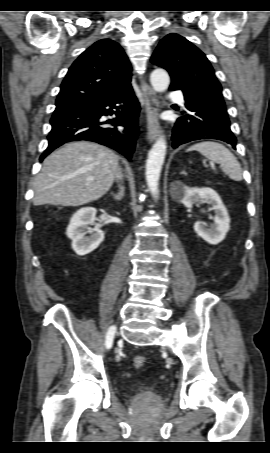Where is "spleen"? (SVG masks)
Wrapping results in <instances>:
<instances>
[{"label": "spleen", "instance_id": "spleen-1", "mask_svg": "<svg viewBox=\"0 0 270 453\" xmlns=\"http://www.w3.org/2000/svg\"><path fill=\"white\" fill-rule=\"evenodd\" d=\"M187 151L200 152L203 156L220 164L222 171L232 180H242L243 174L240 163L234 154L224 145L213 141H205L194 144Z\"/></svg>", "mask_w": 270, "mask_h": 453}]
</instances>
